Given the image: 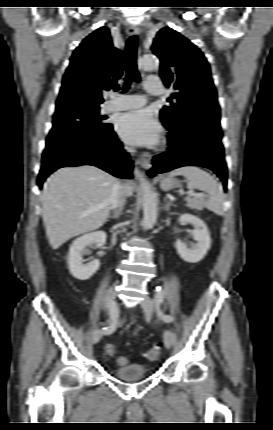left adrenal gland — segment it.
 Wrapping results in <instances>:
<instances>
[{
	"label": "left adrenal gland",
	"instance_id": "1",
	"mask_svg": "<svg viewBox=\"0 0 273 430\" xmlns=\"http://www.w3.org/2000/svg\"><path fill=\"white\" fill-rule=\"evenodd\" d=\"M164 201L167 202L166 198L164 199ZM171 205H172L171 203L167 202L166 205L164 206V210L169 211Z\"/></svg>",
	"mask_w": 273,
	"mask_h": 430
}]
</instances>
